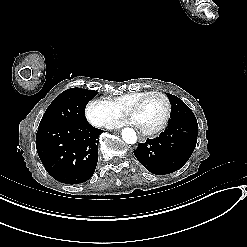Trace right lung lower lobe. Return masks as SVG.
<instances>
[{
	"mask_svg": "<svg viewBox=\"0 0 247 247\" xmlns=\"http://www.w3.org/2000/svg\"><path fill=\"white\" fill-rule=\"evenodd\" d=\"M103 130L85 123H57L38 128L37 153L57 181L79 184L89 180L98 161V137Z\"/></svg>",
	"mask_w": 247,
	"mask_h": 247,
	"instance_id": "98d812e1",
	"label": "right lung lower lobe"
}]
</instances>
